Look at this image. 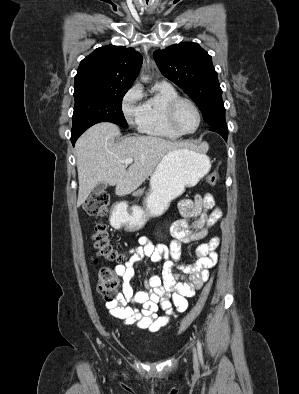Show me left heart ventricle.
<instances>
[{"instance_id": "b2bd125f", "label": "left heart ventricle", "mask_w": 299, "mask_h": 394, "mask_svg": "<svg viewBox=\"0 0 299 394\" xmlns=\"http://www.w3.org/2000/svg\"><path fill=\"white\" fill-rule=\"evenodd\" d=\"M176 121L183 131L190 132L197 127L198 116L189 104L182 103L177 110Z\"/></svg>"}]
</instances>
